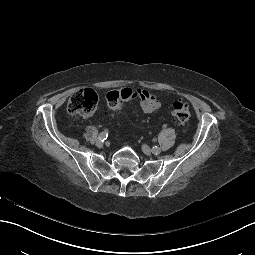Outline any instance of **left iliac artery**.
Returning <instances> with one entry per match:
<instances>
[{"instance_id": "left-iliac-artery-1", "label": "left iliac artery", "mask_w": 255, "mask_h": 255, "mask_svg": "<svg viewBox=\"0 0 255 255\" xmlns=\"http://www.w3.org/2000/svg\"><path fill=\"white\" fill-rule=\"evenodd\" d=\"M158 149H159V147L155 146V147L152 148V152H153L155 155H157V154H158Z\"/></svg>"}]
</instances>
